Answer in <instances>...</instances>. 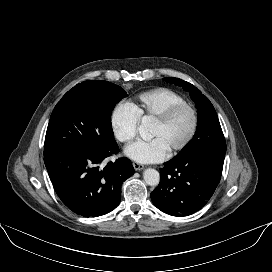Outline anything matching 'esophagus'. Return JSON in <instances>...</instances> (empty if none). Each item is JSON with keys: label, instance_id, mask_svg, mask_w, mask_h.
Masks as SVG:
<instances>
[{"label": "esophagus", "instance_id": "1", "mask_svg": "<svg viewBox=\"0 0 272 272\" xmlns=\"http://www.w3.org/2000/svg\"><path fill=\"white\" fill-rule=\"evenodd\" d=\"M133 167L136 171H141L144 169V166L142 164L139 163H133Z\"/></svg>", "mask_w": 272, "mask_h": 272}]
</instances>
